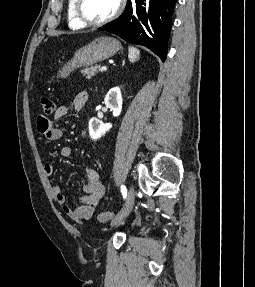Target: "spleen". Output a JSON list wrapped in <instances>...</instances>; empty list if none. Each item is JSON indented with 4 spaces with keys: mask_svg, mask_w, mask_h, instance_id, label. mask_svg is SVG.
Returning <instances> with one entry per match:
<instances>
[{
    "mask_svg": "<svg viewBox=\"0 0 255 287\" xmlns=\"http://www.w3.org/2000/svg\"><path fill=\"white\" fill-rule=\"evenodd\" d=\"M128 52L130 62H136V60H139L140 52L137 48H128Z\"/></svg>",
    "mask_w": 255,
    "mask_h": 287,
    "instance_id": "obj_1",
    "label": "spleen"
}]
</instances>
